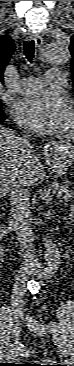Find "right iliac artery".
I'll return each instance as SVG.
<instances>
[{"label": "right iliac artery", "instance_id": "82829eb1", "mask_svg": "<svg viewBox=\"0 0 74 366\" xmlns=\"http://www.w3.org/2000/svg\"><path fill=\"white\" fill-rule=\"evenodd\" d=\"M18 352L16 351L15 345L12 346L9 355L10 356H17Z\"/></svg>", "mask_w": 74, "mask_h": 366}]
</instances>
